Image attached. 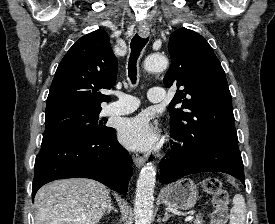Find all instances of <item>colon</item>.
I'll return each instance as SVG.
<instances>
[{"mask_svg": "<svg viewBox=\"0 0 275 224\" xmlns=\"http://www.w3.org/2000/svg\"><path fill=\"white\" fill-rule=\"evenodd\" d=\"M204 190L211 196L213 210L211 224H226L230 197L221 182L214 177H207L202 182Z\"/></svg>", "mask_w": 275, "mask_h": 224, "instance_id": "1", "label": "colon"}]
</instances>
